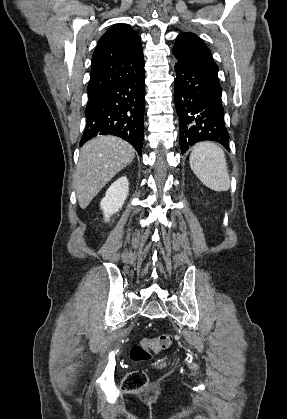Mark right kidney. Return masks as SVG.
Listing matches in <instances>:
<instances>
[{"instance_id": "right-kidney-1", "label": "right kidney", "mask_w": 287, "mask_h": 419, "mask_svg": "<svg viewBox=\"0 0 287 419\" xmlns=\"http://www.w3.org/2000/svg\"><path fill=\"white\" fill-rule=\"evenodd\" d=\"M129 192L128 179L124 176L116 180L106 191L105 197L100 202L105 221L110 220L112 214L117 213L123 206Z\"/></svg>"}]
</instances>
